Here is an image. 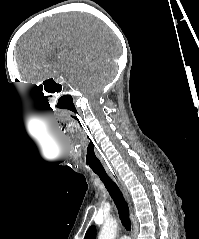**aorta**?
I'll return each mask as SVG.
<instances>
[{
  "mask_svg": "<svg viewBox=\"0 0 199 239\" xmlns=\"http://www.w3.org/2000/svg\"><path fill=\"white\" fill-rule=\"evenodd\" d=\"M117 233V221L113 218H108L100 231L98 239H115Z\"/></svg>",
  "mask_w": 199,
  "mask_h": 239,
  "instance_id": "obj_1",
  "label": "aorta"
}]
</instances>
